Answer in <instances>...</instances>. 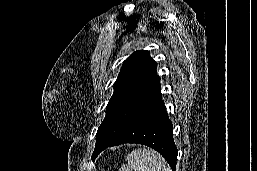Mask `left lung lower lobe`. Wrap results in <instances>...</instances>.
I'll return each mask as SVG.
<instances>
[{"label": "left lung lower lobe", "instance_id": "0a47b994", "mask_svg": "<svg viewBox=\"0 0 257 171\" xmlns=\"http://www.w3.org/2000/svg\"><path fill=\"white\" fill-rule=\"evenodd\" d=\"M173 125L162 101L161 91L115 138L96 148L92 160L106 148L124 143L147 145L158 151L175 171L178 150L173 140Z\"/></svg>", "mask_w": 257, "mask_h": 171}]
</instances>
